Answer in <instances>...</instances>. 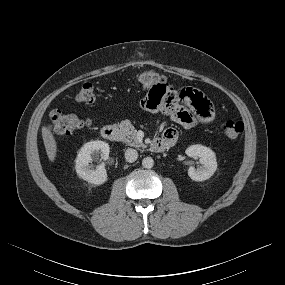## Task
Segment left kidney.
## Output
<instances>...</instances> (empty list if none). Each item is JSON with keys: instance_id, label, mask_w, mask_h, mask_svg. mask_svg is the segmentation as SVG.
<instances>
[{"instance_id": "left-kidney-1", "label": "left kidney", "mask_w": 285, "mask_h": 285, "mask_svg": "<svg viewBox=\"0 0 285 285\" xmlns=\"http://www.w3.org/2000/svg\"><path fill=\"white\" fill-rule=\"evenodd\" d=\"M186 154L189 157H200L202 167L188 169L189 177L194 181H204L209 179L217 169L215 153L208 147L200 144L192 145L186 149Z\"/></svg>"}]
</instances>
